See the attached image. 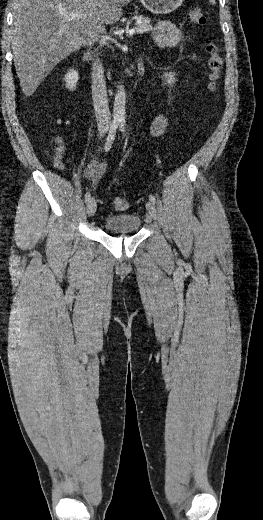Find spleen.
I'll return each instance as SVG.
<instances>
[{"mask_svg":"<svg viewBox=\"0 0 263 520\" xmlns=\"http://www.w3.org/2000/svg\"><path fill=\"white\" fill-rule=\"evenodd\" d=\"M210 2H211L212 4H215V0H210Z\"/></svg>","mask_w":263,"mask_h":520,"instance_id":"1","label":"spleen"}]
</instances>
